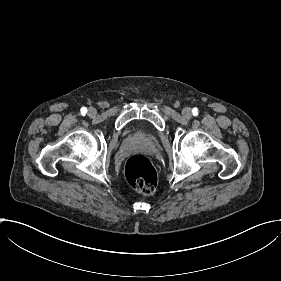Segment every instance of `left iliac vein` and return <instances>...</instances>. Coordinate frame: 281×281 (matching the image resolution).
Segmentation results:
<instances>
[{"label": "left iliac vein", "instance_id": "left-iliac-vein-1", "mask_svg": "<svg viewBox=\"0 0 281 281\" xmlns=\"http://www.w3.org/2000/svg\"><path fill=\"white\" fill-rule=\"evenodd\" d=\"M183 117L184 118H186V119H189V118H191V116H192V110H191V108H189V107H186V108H184L183 109Z\"/></svg>", "mask_w": 281, "mask_h": 281}]
</instances>
